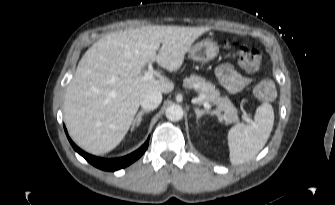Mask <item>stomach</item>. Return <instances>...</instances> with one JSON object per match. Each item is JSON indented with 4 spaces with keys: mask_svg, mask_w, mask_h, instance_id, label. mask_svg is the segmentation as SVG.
<instances>
[{
    "mask_svg": "<svg viewBox=\"0 0 335 205\" xmlns=\"http://www.w3.org/2000/svg\"><path fill=\"white\" fill-rule=\"evenodd\" d=\"M218 53L217 42L212 39H204L190 48L189 57L194 61L208 62L217 57Z\"/></svg>",
    "mask_w": 335,
    "mask_h": 205,
    "instance_id": "stomach-1",
    "label": "stomach"
}]
</instances>
